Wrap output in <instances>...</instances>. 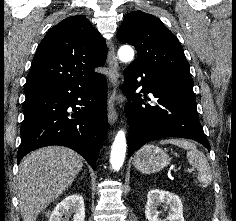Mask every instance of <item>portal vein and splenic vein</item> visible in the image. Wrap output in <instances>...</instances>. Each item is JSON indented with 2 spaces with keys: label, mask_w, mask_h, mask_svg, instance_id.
<instances>
[{
  "label": "portal vein and splenic vein",
  "mask_w": 236,
  "mask_h": 221,
  "mask_svg": "<svg viewBox=\"0 0 236 221\" xmlns=\"http://www.w3.org/2000/svg\"><path fill=\"white\" fill-rule=\"evenodd\" d=\"M193 171H194L193 168H188V169H187V172H189V173H191V172H193Z\"/></svg>",
  "instance_id": "obj_1"
}]
</instances>
